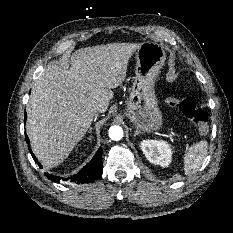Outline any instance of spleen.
Instances as JSON below:
<instances>
[{"instance_id":"3e777b00","label":"spleen","mask_w":233,"mask_h":233,"mask_svg":"<svg viewBox=\"0 0 233 233\" xmlns=\"http://www.w3.org/2000/svg\"><path fill=\"white\" fill-rule=\"evenodd\" d=\"M207 149L206 140H201L189 147L183 158L185 175L190 176L200 169L206 158Z\"/></svg>"}]
</instances>
